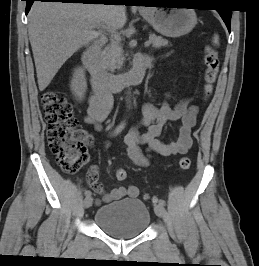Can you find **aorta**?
<instances>
[{"label": "aorta", "instance_id": "obj_1", "mask_svg": "<svg viewBox=\"0 0 259 266\" xmlns=\"http://www.w3.org/2000/svg\"><path fill=\"white\" fill-rule=\"evenodd\" d=\"M127 87L129 88V87H130V84H128ZM127 103H128V102H127Z\"/></svg>", "mask_w": 259, "mask_h": 266}]
</instances>
